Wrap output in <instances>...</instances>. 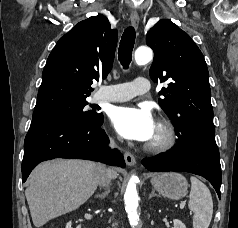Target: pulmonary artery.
I'll use <instances>...</instances> for the list:
<instances>
[{
    "label": "pulmonary artery",
    "mask_w": 238,
    "mask_h": 228,
    "mask_svg": "<svg viewBox=\"0 0 238 228\" xmlns=\"http://www.w3.org/2000/svg\"><path fill=\"white\" fill-rule=\"evenodd\" d=\"M149 89V80L144 77H137L128 83L102 86L97 93V99L99 101L121 102L145 94Z\"/></svg>",
    "instance_id": "pulmonary-artery-1"
}]
</instances>
